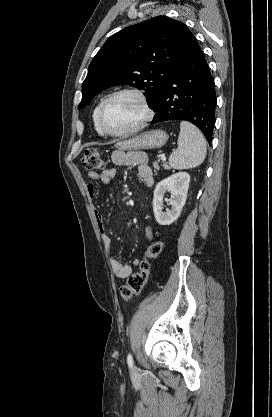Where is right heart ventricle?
I'll use <instances>...</instances> for the list:
<instances>
[{
	"label": "right heart ventricle",
	"instance_id": "e07e8e85",
	"mask_svg": "<svg viewBox=\"0 0 272 417\" xmlns=\"http://www.w3.org/2000/svg\"><path fill=\"white\" fill-rule=\"evenodd\" d=\"M104 100H105V97L101 98L98 101L97 105L95 106V108L93 110V114H92V119H93L94 127H95V130L97 131L98 134H102L100 132V130H99V127H98L97 117H98V112H99L100 106L102 105V103H103Z\"/></svg>",
	"mask_w": 272,
	"mask_h": 417
}]
</instances>
